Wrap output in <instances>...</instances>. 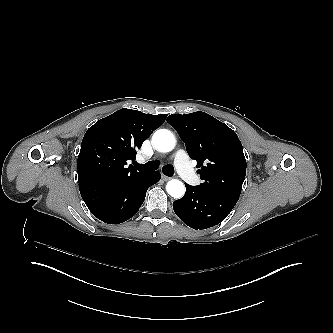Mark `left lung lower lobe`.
<instances>
[{
  "label": "left lung lower lobe",
  "instance_id": "left-lung-lower-lobe-1",
  "mask_svg": "<svg viewBox=\"0 0 333 333\" xmlns=\"http://www.w3.org/2000/svg\"><path fill=\"white\" fill-rule=\"evenodd\" d=\"M185 195L173 202L176 215L193 229H206L222 222L232 211L239 197L204 191L200 186L185 183Z\"/></svg>",
  "mask_w": 333,
  "mask_h": 333
}]
</instances>
